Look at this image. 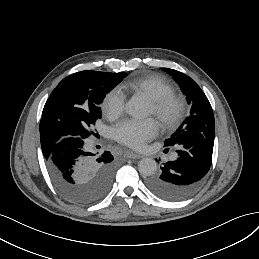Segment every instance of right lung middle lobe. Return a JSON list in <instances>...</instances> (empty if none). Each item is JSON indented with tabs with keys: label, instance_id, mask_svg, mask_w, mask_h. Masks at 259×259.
<instances>
[{
	"label": "right lung middle lobe",
	"instance_id": "1",
	"mask_svg": "<svg viewBox=\"0 0 259 259\" xmlns=\"http://www.w3.org/2000/svg\"><path fill=\"white\" fill-rule=\"evenodd\" d=\"M125 76L124 72H106L98 79L83 85L81 103L75 106L69 116L56 124V136L60 142L67 139L69 143H77L95 135L91 129L101 118L99 104Z\"/></svg>",
	"mask_w": 259,
	"mask_h": 259
}]
</instances>
